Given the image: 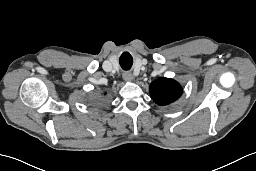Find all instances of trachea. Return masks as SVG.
Wrapping results in <instances>:
<instances>
[{
  "instance_id": "3493384b",
  "label": "trachea",
  "mask_w": 256,
  "mask_h": 171,
  "mask_svg": "<svg viewBox=\"0 0 256 171\" xmlns=\"http://www.w3.org/2000/svg\"><path fill=\"white\" fill-rule=\"evenodd\" d=\"M121 66L124 70H129L131 68V64L130 63H121Z\"/></svg>"
}]
</instances>
